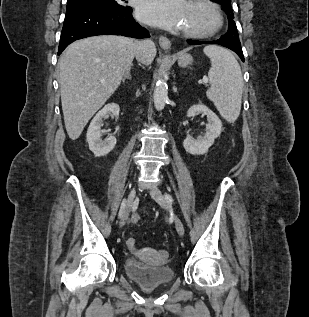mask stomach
I'll return each instance as SVG.
<instances>
[{"mask_svg": "<svg viewBox=\"0 0 309 317\" xmlns=\"http://www.w3.org/2000/svg\"><path fill=\"white\" fill-rule=\"evenodd\" d=\"M193 62V58L191 55L185 53V52H181L178 54V64L180 66H187L192 64Z\"/></svg>", "mask_w": 309, "mask_h": 317, "instance_id": "stomach-1", "label": "stomach"}]
</instances>
